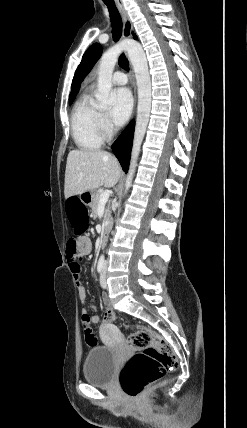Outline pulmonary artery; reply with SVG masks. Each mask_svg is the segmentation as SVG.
<instances>
[{
  "label": "pulmonary artery",
  "mask_w": 247,
  "mask_h": 428,
  "mask_svg": "<svg viewBox=\"0 0 247 428\" xmlns=\"http://www.w3.org/2000/svg\"><path fill=\"white\" fill-rule=\"evenodd\" d=\"M112 82L116 85H125L128 82V79H127V76L123 72L116 71L112 75Z\"/></svg>",
  "instance_id": "pulmonary-artery-1"
}]
</instances>
